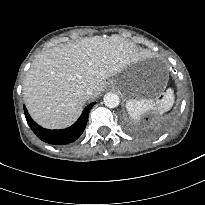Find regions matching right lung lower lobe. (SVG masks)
<instances>
[{"label": "right lung lower lobe", "instance_id": "98d812e1", "mask_svg": "<svg viewBox=\"0 0 205 205\" xmlns=\"http://www.w3.org/2000/svg\"><path fill=\"white\" fill-rule=\"evenodd\" d=\"M95 105L94 103L89 104L84 110L80 118L69 128L62 130H48L37 125L27 112L24 106V112L26 120L32 129V131L37 135L42 141L53 144V145H63L71 143L77 140L83 133L85 126L88 121V115L91 108Z\"/></svg>", "mask_w": 205, "mask_h": 205}]
</instances>
